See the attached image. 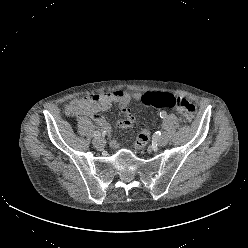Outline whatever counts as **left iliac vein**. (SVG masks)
I'll return each instance as SVG.
<instances>
[{
    "label": "left iliac vein",
    "instance_id": "4c4485c4",
    "mask_svg": "<svg viewBox=\"0 0 248 248\" xmlns=\"http://www.w3.org/2000/svg\"><path fill=\"white\" fill-rule=\"evenodd\" d=\"M157 143H158V145L161 146V147L167 145V143H168V138H167V136H166V135H162V136L158 137Z\"/></svg>",
    "mask_w": 248,
    "mask_h": 248
}]
</instances>
